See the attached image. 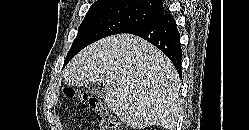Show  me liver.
Segmentation results:
<instances>
[{
  "instance_id": "liver-1",
  "label": "liver",
  "mask_w": 249,
  "mask_h": 130,
  "mask_svg": "<svg viewBox=\"0 0 249 130\" xmlns=\"http://www.w3.org/2000/svg\"><path fill=\"white\" fill-rule=\"evenodd\" d=\"M64 82L79 87L99 82L109 109L133 129L176 127L180 77L171 60L142 38L118 34L91 44L66 66Z\"/></svg>"
}]
</instances>
